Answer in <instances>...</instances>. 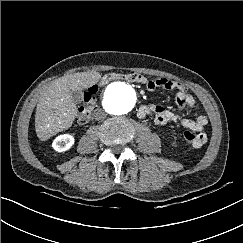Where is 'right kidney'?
<instances>
[{"instance_id": "obj_1", "label": "right kidney", "mask_w": 243, "mask_h": 243, "mask_svg": "<svg viewBox=\"0 0 243 243\" xmlns=\"http://www.w3.org/2000/svg\"><path fill=\"white\" fill-rule=\"evenodd\" d=\"M75 140L74 137L69 134H62L56 137L52 143L53 148L58 152H64L69 150Z\"/></svg>"}]
</instances>
